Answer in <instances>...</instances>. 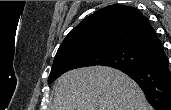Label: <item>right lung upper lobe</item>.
I'll use <instances>...</instances> for the list:
<instances>
[{"instance_id":"obj_1","label":"right lung upper lobe","mask_w":171,"mask_h":110,"mask_svg":"<svg viewBox=\"0 0 171 110\" xmlns=\"http://www.w3.org/2000/svg\"><path fill=\"white\" fill-rule=\"evenodd\" d=\"M95 44L124 46L152 56L163 47L147 17L134 7L119 4L102 8L84 19L68 33L57 54Z\"/></svg>"}]
</instances>
